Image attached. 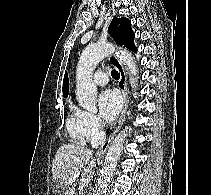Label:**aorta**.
<instances>
[{
    "label": "aorta",
    "mask_w": 211,
    "mask_h": 195,
    "mask_svg": "<svg viewBox=\"0 0 211 195\" xmlns=\"http://www.w3.org/2000/svg\"><path fill=\"white\" fill-rule=\"evenodd\" d=\"M115 47L110 43H96L86 47L81 53L76 70V98L82 108L87 111H96L97 87L92 80V74L97 64L106 56L113 53ZM120 61L124 63L131 74L132 79L137 81V66L133 56L126 50H116ZM127 137L126 130L121 131L111 143L105 157L95 195H105L108 189V182L113 175L123 145Z\"/></svg>",
    "instance_id": "762f6f07"
}]
</instances>
